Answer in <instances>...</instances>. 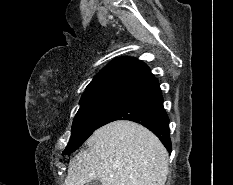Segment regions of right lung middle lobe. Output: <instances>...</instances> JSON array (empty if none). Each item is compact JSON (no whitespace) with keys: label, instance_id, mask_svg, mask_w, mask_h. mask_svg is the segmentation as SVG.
Returning a JSON list of instances; mask_svg holds the SVG:
<instances>
[{"label":"right lung middle lobe","instance_id":"dd1d6c3e","mask_svg":"<svg viewBox=\"0 0 233 185\" xmlns=\"http://www.w3.org/2000/svg\"><path fill=\"white\" fill-rule=\"evenodd\" d=\"M128 92L126 89H105L84 93L72 124L70 141L63 154L78 149Z\"/></svg>","mask_w":233,"mask_h":185}]
</instances>
